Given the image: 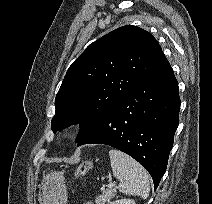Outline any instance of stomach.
<instances>
[{"instance_id": "0dacf381", "label": "stomach", "mask_w": 212, "mask_h": 204, "mask_svg": "<svg viewBox=\"0 0 212 204\" xmlns=\"http://www.w3.org/2000/svg\"><path fill=\"white\" fill-rule=\"evenodd\" d=\"M67 189L60 172L47 174L40 185L39 204H66Z\"/></svg>"}]
</instances>
